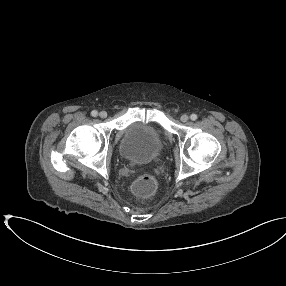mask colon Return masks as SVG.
Returning <instances> with one entry per match:
<instances>
[{"instance_id":"colon-1","label":"colon","mask_w":286,"mask_h":286,"mask_svg":"<svg viewBox=\"0 0 286 286\" xmlns=\"http://www.w3.org/2000/svg\"><path fill=\"white\" fill-rule=\"evenodd\" d=\"M157 189V182L151 175L139 177L133 184V192L140 197H149Z\"/></svg>"}]
</instances>
